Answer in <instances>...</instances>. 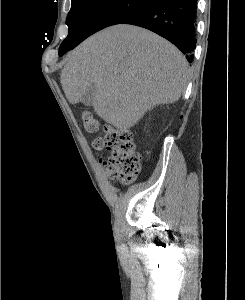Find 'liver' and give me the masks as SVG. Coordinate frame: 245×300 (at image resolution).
<instances>
[{"instance_id": "obj_1", "label": "liver", "mask_w": 245, "mask_h": 300, "mask_svg": "<svg viewBox=\"0 0 245 300\" xmlns=\"http://www.w3.org/2000/svg\"><path fill=\"white\" fill-rule=\"evenodd\" d=\"M188 82L184 55L157 34L133 25L108 27L69 53L61 84L71 104L93 86L95 113L126 131L156 105L176 102Z\"/></svg>"}]
</instances>
